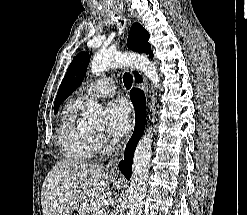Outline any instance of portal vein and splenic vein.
<instances>
[{"label":"portal vein and splenic vein","instance_id":"1","mask_svg":"<svg viewBox=\"0 0 247 215\" xmlns=\"http://www.w3.org/2000/svg\"><path fill=\"white\" fill-rule=\"evenodd\" d=\"M95 215H106V211L104 209H101L100 207H98Z\"/></svg>","mask_w":247,"mask_h":215}]
</instances>
